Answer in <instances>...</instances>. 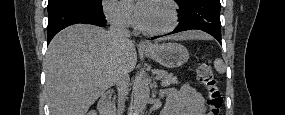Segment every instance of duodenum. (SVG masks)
I'll return each mask as SVG.
<instances>
[{
	"mask_svg": "<svg viewBox=\"0 0 285 115\" xmlns=\"http://www.w3.org/2000/svg\"><path fill=\"white\" fill-rule=\"evenodd\" d=\"M99 113L100 115H113V109L111 105V97L110 94L105 92L99 98L98 103Z\"/></svg>",
	"mask_w": 285,
	"mask_h": 115,
	"instance_id": "410a0bca",
	"label": "duodenum"
}]
</instances>
